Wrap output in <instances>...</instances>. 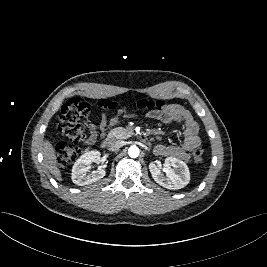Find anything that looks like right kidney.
I'll return each instance as SVG.
<instances>
[{
  "label": "right kidney",
  "mask_w": 267,
  "mask_h": 267,
  "mask_svg": "<svg viewBox=\"0 0 267 267\" xmlns=\"http://www.w3.org/2000/svg\"><path fill=\"white\" fill-rule=\"evenodd\" d=\"M102 161H104V159L101 158V154L97 150L84 153L73 165L72 182L78 186H84L103 178L106 171L102 167H98L96 170L89 172L92 163H99Z\"/></svg>",
  "instance_id": "obj_1"
}]
</instances>
